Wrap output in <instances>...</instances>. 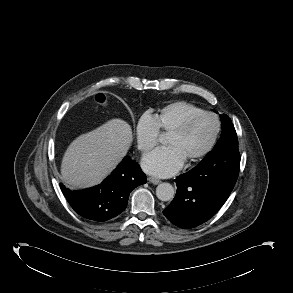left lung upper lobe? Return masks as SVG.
Returning <instances> with one entry per match:
<instances>
[{"label":"left lung upper lobe","instance_id":"5c2ea615","mask_svg":"<svg viewBox=\"0 0 293 293\" xmlns=\"http://www.w3.org/2000/svg\"><path fill=\"white\" fill-rule=\"evenodd\" d=\"M222 133L217 144L198 166H214L222 160L228 153L238 152V139L233 123L227 115L221 116Z\"/></svg>","mask_w":293,"mask_h":293}]
</instances>
